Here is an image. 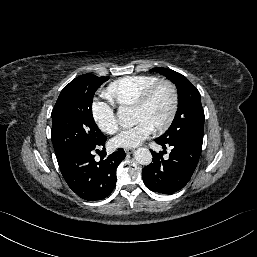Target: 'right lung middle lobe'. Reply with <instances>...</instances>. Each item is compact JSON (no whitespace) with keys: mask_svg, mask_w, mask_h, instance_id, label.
<instances>
[{"mask_svg":"<svg viewBox=\"0 0 257 257\" xmlns=\"http://www.w3.org/2000/svg\"><path fill=\"white\" fill-rule=\"evenodd\" d=\"M107 80L84 74L61 91L51 113V139L56 158L73 149L95 148L106 140L94 121L92 101L95 91Z\"/></svg>","mask_w":257,"mask_h":257,"instance_id":"1","label":"right lung middle lobe"}]
</instances>
